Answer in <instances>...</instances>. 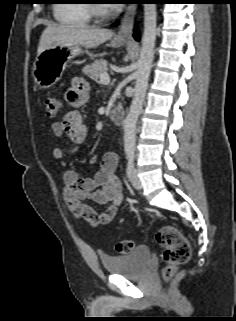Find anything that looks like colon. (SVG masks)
I'll return each mask as SVG.
<instances>
[{
    "instance_id": "obj_1",
    "label": "colon",
    "mask_w": 236,
    "mask_h": 321,
    "mask_svg": "<svg viewBox=\"0 0 236 321\" xmlns=\"http://www.w3.org/2000/svg\"><path fill=\"white\" fill-rule=\"evenodd\" d=\"M45 112L49 117H55L60 110V102L54 96L44 99ZM156 242L163 248L165 268L163 275L171 278L178 268L185 264L191 255V246L184 235L174 226H162L156 233ZM131 240H121L116 244L117 252L128 254L133 249Z\"/></svg>"
}]
</instances>
